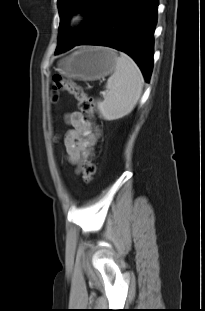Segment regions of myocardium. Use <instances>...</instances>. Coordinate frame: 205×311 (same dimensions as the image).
<instances>
[{"instance_id": "1", "label": "myocardium", "mask_w": 205, "mask_h": 311, "mask_svg": "<svg viewBox=\"0 0 205 311\" xmlns=\"http://www.w3.org/2000/svg\"><path fill=\"white\" fill-rule=\"evenodd\" d=\"M85 23V15L82 11H75L73 12L68 21V27L70 29H78Z\"/></svg>"}]
</instances>
